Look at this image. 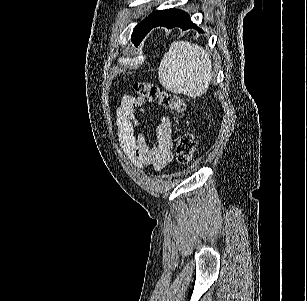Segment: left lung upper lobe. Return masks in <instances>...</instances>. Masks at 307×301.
<instances>
[{
    "instance_id": "left-lung-upper-lobe-1",
    "label": "left lung upper lobe",
    "mask_w": 307,
    "mask_h": 301,
    "mask_svg": "<svg viewBox=\"0 0 307 301\" xmlns=\"http://www.w3.org/2000/svg\"><path fill=\"white\" fill-rule=\"evenodd\" d=\"M167 10L168 9L154 11L149 17H147L144 21L135 27L132 34V41L135 45H138L142 41V39L149 32L152 23L161 17Z\"/></svg>"
}]
</instances>
